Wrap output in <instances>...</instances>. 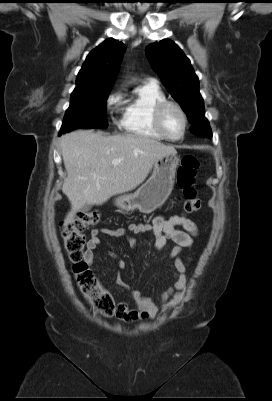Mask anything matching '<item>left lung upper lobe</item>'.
Masks as SVG:
<instances>
[{"instance_id": "left-lung-upper-lobe-1", "label": "left lung upper lobe", "mask_w": 272, "mask_h": 401, "mask_svg": "<svg viewBox=\"0 0 272 401\" xmlns=\"http://www.w3.org/2000/svg\"><path fill=\"white\" fill-rule=\"evenodd\" d=\"M146 54L163 85L186 113L192 124L191 132L203 137H212L199 92V80L190 60L171 40L148 45Z\"/></svg>"}]
</instances>
